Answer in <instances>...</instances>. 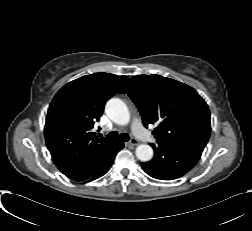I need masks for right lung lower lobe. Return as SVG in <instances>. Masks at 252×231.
Masks as SVG:
<instances>
[{
  "label": "right lung lower lobe",
  "instance_id": "1",
  "mask_svg": "<svg viewBox=\"0 0 252 231\" xmlns=\"http://www.w3.org/2000/svg\"><path fill=\"white\" fill-rule=\"evenodd\" d=\"M123 147H124V144L119 141V143L116 145L114 150L110 153V155H108L103 161L100 162L99 166L97 167L93 175L89 177L87 180L92 181L104 175L112 166L117 152L121 150Z\"/></svg>",
  "mask_w": 252,
  "mask_h": 231
}]
</instances>
